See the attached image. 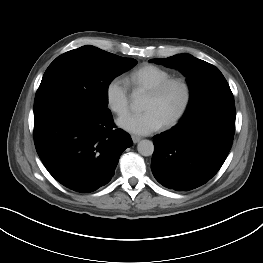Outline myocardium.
I'll return each instance as SVG.
<instances>
[{"mask_svg": "<svg viewBox=\"0 0 263 263\" xmlns=\"http://www.w3.org/2000/svg\"><path fill=\"white\" fill-rule=\"evenodd\" d=\"M174 85H178L182 88L183 100L178 110L164 122V126L167 128L175 125L185 115L190 106L192 100V87L189 81L183 77H170L147 91V94L159 98Z\"/></svg>", "mask_w": 263, "mask_h": 263, "instance_id": "myocardium-1", "label": "myocardium"}]
</instances>
